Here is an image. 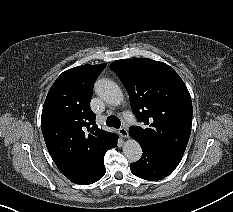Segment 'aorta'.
<instances>
[{
    "mask_svg": "<svg viewBox=\"0 0 233 212\" xmlns=\"http://www.w3.org/2000/svg\"><path fill=\"white\" fill-rule=\"evenodd\" d=\"M94 89L96 94L108 104L120 105L123 102L122 90L114 81L100 79L95 83ZM123 154L130 162H136L142 156V148L136 140L129 139L124 143Z\"/></svg>",
    "mask_w": 233,
    "mask_h": 212,
    "instance_id": "aorta-1",
    "label": "aorta"
}]
</instances>
